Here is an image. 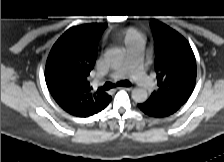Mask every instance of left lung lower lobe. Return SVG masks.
Listing matches in <instances>:
<instances>
[{
    "instance_id": "obj_1",
    "label": "left lung lower lobe",
    "mask_w": 224,
    "mask_h": 162,
    "mask_svg": "<svg viewBox=\"0 0 224 162\" xmlns=\"http://www.w3.org/2000/svg\"><path fill=\"white\" fill-rule=\"evenodd\" d=\"M138 107L145 113L153 117H165L176 112L180 107L174 105H158L143 103L138 104Z\"/></svg>"
}]
</instances>
